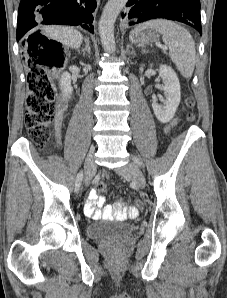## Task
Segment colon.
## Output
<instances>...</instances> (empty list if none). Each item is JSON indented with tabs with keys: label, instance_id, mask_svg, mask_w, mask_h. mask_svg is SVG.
Instances as JSON below:
<instances>
[{
	"label": "colon",
	"instance_id": "1",
	"mask_svg": "<svg viewBox=\"0 0 227 298\" xmlns=\"http://www.w3.org/2000/svg\"><path fill=\"white\" fill-rule=\"evenodd\" d=\"M31 45L32 49L27 54L28 97L25 125L36 147L43 149L51 138L50 126L55 113L56 91L46 70L47 67L54 64V59L49 55L52 42L47 37L37 34ZM186 104L188 108H192L194 99L189 97ZM188 118L193 120L194 115L190 113ZM105 188L106 185L103 182H99L95 186L97 191H103ZM136 205L141 207L142 203L137 202ZM140 211L143 213L145 210L142 208Z\"/></svg>",
	"mask_w": 227,
	"mask_h": 298
}]
</instances>
